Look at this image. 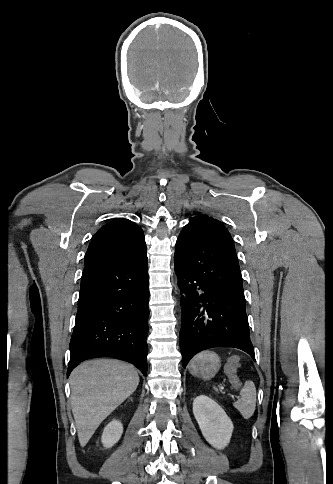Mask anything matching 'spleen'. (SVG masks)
<instances>
[{
	"label": "spleen",
	"mask_w": 333,
	"mask_h": 484,
	"mask_svg": "<svg viewBox=\"0 0 333 484\" xmlns=\"http://www.w3.org/2000/svg\"><path fill=\"white\" fill-rule=\"evenodd\" d=\"M235 383V381H234ZM241 398L233 403V406L246 420L250 419L256 407V388L252 381H246L240 391Z\"/></svg>",
	"instance_id": "spleen-1"
}]
</instances>
